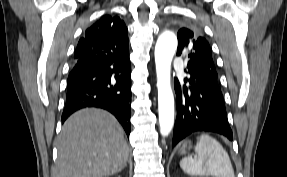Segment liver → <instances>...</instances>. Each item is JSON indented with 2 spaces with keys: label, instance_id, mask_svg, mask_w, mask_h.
<instances>
[{
  "label": "liver",
  "instance_id": "obj_1",
  "mask_svg": "<svg viewBox=\"0 0 287 177\" xmlns=\"http://www.w3.org/2000/svg\"><path fill=\"white\" fill-rule=\"evenodd\" d=\"M57 148L54 177H106L123 170L129 157L121 125L95 108L77 111L65 121Z\"/></svg>",
  "mask_w": 287,
  "mask_h": 177
}]
</instances>
